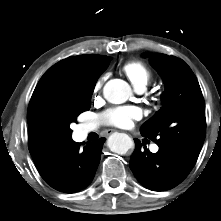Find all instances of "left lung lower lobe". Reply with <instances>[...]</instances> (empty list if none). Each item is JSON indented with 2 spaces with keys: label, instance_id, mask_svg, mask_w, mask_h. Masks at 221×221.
I'll return each mask as SVG.
<instances>
[{
  "label": "left lung lower lobe",
  "instance_id": "0a47b994",
  "mask_svg": "<svg viewBox=\"0 0 221 221\" xmlns=\"http://www.w3.org/2000/svg\"><path fill=\"white\" fill-rule=\"evenodd\" d=\"M136 149L130 161V168L137 180L153 191H165L174 188L189 174L193 166L188 164L176 152L159 147L157 153H151L138 139Z\"/></svg>",
  "mask_w": 221,
  "mask_h": 221
}]
</instances>
